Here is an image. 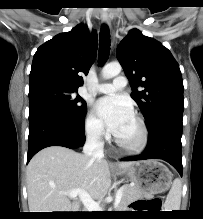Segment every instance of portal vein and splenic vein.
<instances>
[{"instance_id": "1", "label": "portal vein and splenic vein", "mask_w": 203, "mask_h": 219, "mask_svg": "<svg viewBox=\"0 0 203 219\" xmlns=\"http://www.w3.org/2000/svg\"><path fill=\"white\" fill-rule=\"evenodd\" d=\"M67 194L70 198H76L77 196H79L80 200L82 201V203L84 204V206L88 209L89 212L91 211H101V207L99 205V203L95 202L90 195L84 191L83 189H74ZM121 198H122V190L119 189L116 192L115 195V202H114V206H118V204L121 202Z\"/></svg>"}]
</instances>
